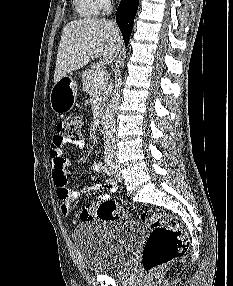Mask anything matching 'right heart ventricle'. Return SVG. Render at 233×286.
<instances>
[{"label":"right heart ventricle","mask_w":233,"mask_h":286,"mask_svg":"<svg viewBox=\"0 0 233 286\" xmlns=\"http://www.w3.org/2000/svg\"><path fill=\"white\" fill-rule=\"evenodd\" d=\"M75 8L80 17L94 18L104 9L101 0H74Z\"/></svg>","instance_id":"obj_1"}]
</instances>
